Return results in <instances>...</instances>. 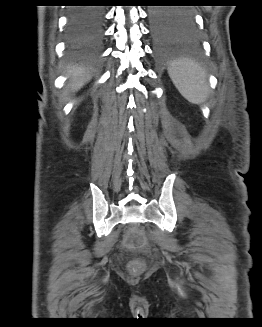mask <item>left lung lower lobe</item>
I'll list each match as a JSON object with an SVG mask.
<instances>
[{
    "mask_svg": "<svg viewBox=\"0 0 262 327\" xmlns=\"http://www.w3.org/2000/svg\"><path fill=\"white\" fill-rule=\"evenodd\" d=\"M148 15L159 55L200 54L202 45L198 28L188 9L152 7Z\"/></svg>",
    "mask_w": 262,
    "mask_h": 327,
    "instance_id": "left-lung-lower-lobe-1",
    "label": "left lung lower lobe"
}]
</instances>
